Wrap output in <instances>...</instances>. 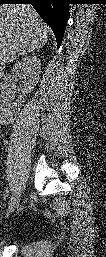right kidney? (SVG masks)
I'll return each instance as SVG.
<instances>
[{
    "instance_id": "right-kidney-1",
    "label": "right kidney",
    "mask_w": 106,
    "mask_h": 257,
    "mask_svg": "<svg viewBox=\"0 0 106 257\" xmlns=\"http://www.w3.org/2000/svg\"><path fill=\"white\" fill-rule=\"evenodd\" d=\"M40 59L36 56H26L21 61H18L11 70L6 74L1 81V94L0 102L2 111L10 112V109L17 110V107L24 102V97L28 94L36 85L39 79L40 73ZM20 80L18 90L21 91V95L18 97L16 103H12L10 97V83ZM4 107V108H3Z\"/></svg>"
}]
</instances>
